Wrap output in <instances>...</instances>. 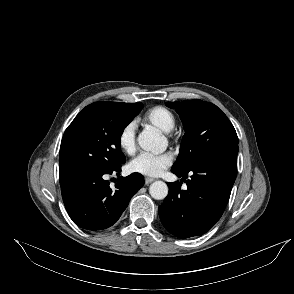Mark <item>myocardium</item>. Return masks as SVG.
<instances>
[{
	"label": "myocardium",
	"instance_id": "1",
	"mask_svg": "<svg viewBox=\"0 0 294 294\" xmlns=\"http://www.w3.org/2000/svg\"><path fill=\"white\" fill-rule=\"evenodd\" d=\"M167 139H170L172 137V131L164 132Z\"/></svg>",
	"mask_w": 294,
	"mask_h": 294
}]
</instances>
